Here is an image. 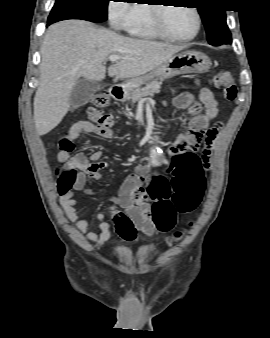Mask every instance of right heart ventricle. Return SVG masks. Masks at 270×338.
<instances>
[{"instance_id":"1","label":"right heart ventricle","mask_w":270,"mask_h":338,"mask_svg":"<svg viewBox=\"0 0 270 338\" xmlns=\"http://www.w3.org/2000/svg\"><path fill=\"white\" fill-rule=\"evenodd\" d=\"M151 6L134 5L132 7V18L123 28L128 34L142 39H162L153 28L151 17Z\"/></svg>"}]
</instances>
